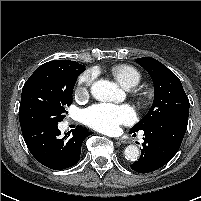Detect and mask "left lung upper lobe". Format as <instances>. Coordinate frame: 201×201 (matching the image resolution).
<instances>
[{
    "label": "left lung upper lobe",
    "mask_w": 201,
    "mask_h": 201,
    "mask_svg": "<svg viewBox=\"0 0 201 201\" xmlns=\"http://www.w3.org/2000/svg\"><path fill=\"white\" fill-rule=\"evenodd\" d=\"M151 76L154 83V101L146 114L130 130L131 133L143 130L155 121L167 117L189 116V100L178 77L161 62L152 57L136 59Z\"/></svg>",
    "instance_id": "obj_1"
}]
</instances>
